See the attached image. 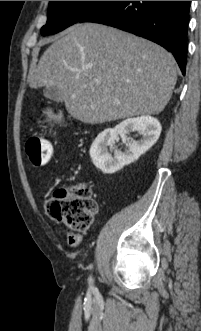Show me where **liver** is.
<instances>
[{"label": "liver", "mask_w": 201, "mask_h": 331, "mask_svg": "<svg viewBox=\"0 0 201 331\" xmlns=\"http://www.w3.org/2000/svg\"><path fill=\"white\" fill-rule=\"evenodd\" d=\"M176 81L171 53L95 23L68 28L28 76L30 88L57 86L68 113L89 124L157 115L169 102Z\"/></svg>", "instance_id": "liver-1"}]
</instances>
